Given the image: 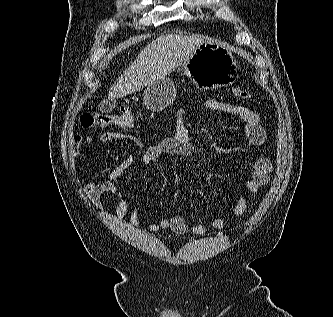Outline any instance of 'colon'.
<instances>
[{
    "label": "colon",
    "instance_id": "5ec220e1",
    "mask_svg": "<svg viewBox=\"0 0 333 317\" xmlns=\"http://www.w3.org/2000/svg\"><path fill=\"white\" fill-rule=\"evenodd\" d=\"M234 95L243 100L251 98L248 91L235 88ZM134 115L127 107H122L117 114H104L99 112H87L81 117V124L85 128H105V127H119L128 129L133 126Z\"/></svg>",
    "mask_w": 333,
    "mask_h": 317
}]
</instances>
